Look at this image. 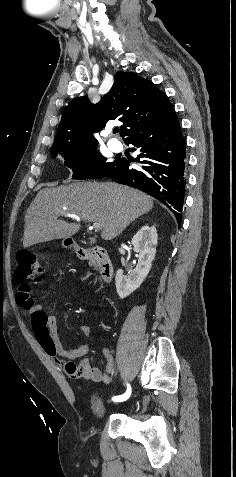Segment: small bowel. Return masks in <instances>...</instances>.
Masks as SVG:
<instances>
[{"label":"small bowel","mask_w":236,"mask_h":477,"mask_svg":"<svg viewBox=\"0 0 236 477\" xmlns=\"http://www.w3.org/2000/svg\"><path fill=\"white\" fill-rule=\"evenodd\" d=\"M30 315L33 333L48 355V357L68 376L75 379H90L94 382L110 383L114 372V359L111 351L106 348L103 351L106 360V367L101 371L93 367L86 355L89 353V346L86 344L76 348L65 347L58 336L56 317L47 312L41 304L36 303L31 298L28 304L23 307ZM78 330L86 338L91 336V328L88 325H81ZM75 359H81L79 364H75Z\"/></svg>","instance_id":"c3829d8e"}]
</instances>
